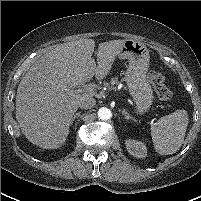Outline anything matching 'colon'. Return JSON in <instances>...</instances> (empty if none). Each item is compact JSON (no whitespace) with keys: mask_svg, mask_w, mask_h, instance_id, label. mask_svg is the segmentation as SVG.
I'll return each instance as SVG.
<instances>
[{"mask_svg":"<svg viewBox=\"0 0 201 201\" xmlns=\"http://www.w3.org/2000/svg\"><path fill=\"white\" fill-rule=\"evenodd\" d=\"M149 80L161 101H169L172 98V92L166 86L164 76L160 72L151 71L149 73Z\"/></svg>","mask_w":201,"mask_h":201,"instance_id":"obj_1","label":"colon"}]
</instances>
